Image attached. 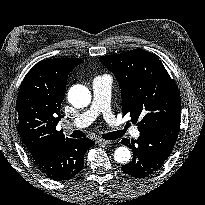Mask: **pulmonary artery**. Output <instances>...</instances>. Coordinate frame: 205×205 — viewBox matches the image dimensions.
<instances>
[{"label":"pulmonary artery","instance_id":"pulmonary-artery-1","mask_svg":"<svg viewBox=\"0 0 205 205\" xmlns=\"http://www.w3.org/2000/svg\"><path fill=\"white\" fill-rule=\"evenodd\" d=\"M111 84L110 76H97L91 82L93 98L91 105L84 112L79 114L70 125L76 128H85L95 121L98 115L102 114L108 124L116 123V116L111 108ZM134 138H138L140 132L137 127L131 129Z\"/></svg>","mask_w":205,"mask_h":205}]
</instances>
